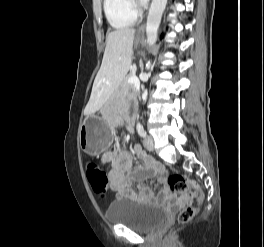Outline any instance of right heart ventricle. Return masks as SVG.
I'll use <instances>...</instances> for the list:
<instances>
[{
    "mask_svg": "<svg viewBox=\"0 0 264 247\" xmlns=\"http://www.w3.org/2000/svg\"><path fill=\"white\" fill-rule=\"evenodd\" d=\"M104 11L109 23L116 29L130 27L138 19L130 0H104Z\"/></svg>",
    "mask_w": 264,
    "mask_h": 247,
    "instance_id": "obj_1",
    "label": "right heart ventricle"
}]
</instances>
